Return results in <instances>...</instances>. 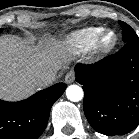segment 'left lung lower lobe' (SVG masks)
<instances>
[{"label":"left lung lower lobe","mask_w":139,"mask_h":139,"mask_svg":"<svg viewBox=\"0 0 139 139\" xmlns=\"http://www.w3.org/2000/svg\"><path fill=\"white\" fill-rule=\"evenodd\" d=\"M83 85V109L97 132L124 135L139 124V40L125 43L116 54L75 67Z\"/></svg>","instance_id":"obj_1"}]
</instances>
